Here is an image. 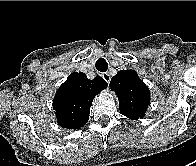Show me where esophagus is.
<instances>
[{
  "mask_svg": "<svg viewBox=\"0 0 196 166\" xmlns=\"http://www.w3.org/2000/svg\"><path fill=\"white\" fill-rule=\"evenodd\" d=\"M103 79L109 84L111 80V76L109 73L105 72L102 74Z\"/></svg>",
  "mask_w": 196,
  "mask_h": 166,
  "instance_id": "esophagus-1",
  "label": "esophagus"
}]
</instances>
